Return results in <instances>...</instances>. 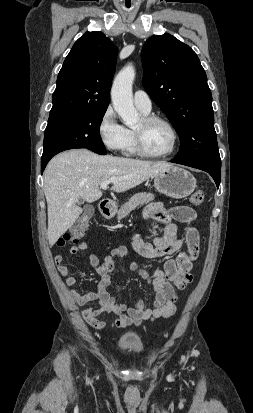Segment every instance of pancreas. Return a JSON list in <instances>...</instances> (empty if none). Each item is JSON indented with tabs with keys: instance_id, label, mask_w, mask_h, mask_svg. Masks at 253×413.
I'll use <instances>...</instances> for the list:
<instances>
[{
	"instance_id": "obj_1",
	"label": "pancreas",
	"mask_w": 253,
	"mask_h": 413,
	"mask_svg": "<svg viewBox=\"0 0 253 413\" xmlns=\"http://www.w3.org/2000/svg\"><path fill=\"white\" fill-rule=\"evenodd\" d=\"M154 200V195L151 193H137L130 198L128 202L121 206L117 213L118 221L124 219L128 214L139 205L149 203Z\"/></svg>"
}]
</instances>
